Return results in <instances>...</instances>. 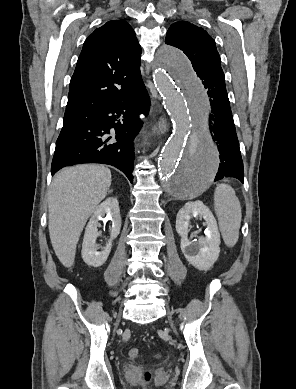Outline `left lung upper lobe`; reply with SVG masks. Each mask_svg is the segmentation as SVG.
<instances>
[{"mask_svg": "<svg viewBox=\"0 0 296 389\" xmlns=\"http://www.w3.org/2000/svg\"><path fill=\"white\" fill-rule=\"evenodd\" d=\"M165 43L186 54L199 78L223 74L215 42L204 29L187 21L176 22L168 29Z\"/></svg>", "mask_w": 296, "mask_h": 389, "instance_id": "1", "label": "left lung upper lobe"}]
</instances>
